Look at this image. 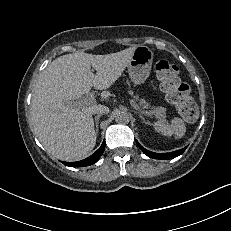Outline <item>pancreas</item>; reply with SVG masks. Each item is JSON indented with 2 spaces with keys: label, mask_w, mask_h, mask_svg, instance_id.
Returning a JSON list of instances; mask_svg holds the SVG:
<instances>
[{
  "label": "pancreas",
  "mask_w": 231,
  "mask_h": 231,
  "mask_svg": "<svg viewBox=\"0 0 231 231\" xmlns=\"http://www.w3.org/2000/svg\"><path fill=\"white\" fill-rule=\"evenodd\" d=\"M134 98L138 100V96H134ZM139 104L141 108L143 109L149 108V104L144 99H140ZM148 112H150V115L154 114L157 118H160L162 120H164L166 117V109L163 107H156V108H153L152 110H149Z\"/></svg>",
  "instance_id": "cf45deb5"
}]
</instances>
